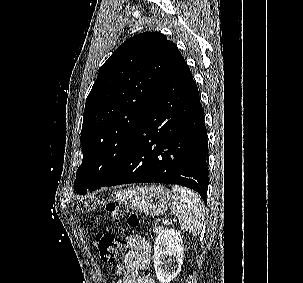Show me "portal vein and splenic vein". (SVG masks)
Listing matches in <instances>:
<instances>
[{
	"mask_svg": "<svg viewBox=\"0 0 303 283\" xmlns=\"http://www.w3.org/2000/svg\"><path fill=\"white\" fill-rule=\"evenodd\" d=\"M170 222H171V220H169V219L163 220V223H164V224H167V223H170Z\"/></svg>",
	"mask_w": 303,
	"mask_h": 283,
	"instance_id": "portal-vein-and-splenic-vein-1",
	"label": "portal vein and splenic vein"
}]
</instances>
